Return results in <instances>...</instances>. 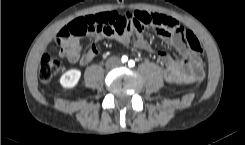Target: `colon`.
I'll list each match as a JSON object with an SVG mask.
<instances>
[{"label":"colon","instance_id":"1","mask_svg":"<svg viewBox=\"0 0 245 145\" xmlns=\"http://www.w3.org/2000/svg\"><path fill=\"white\" fill-rule=\"evenodd\" d=\"M166 27L172 33L181 36L187 42L189 47L198 51L201 48L198 39L186 29L177 20L162 16L158 13L140 15L139 20H135L126 14L121 15L115 21L107 22L102 16L88 17L86 22H82L79 18L73 19L64 25L58 32V36L52 42L50 49L42 56L39 77L43 81H49L54 78L61 70V62L55 56L56 52L60 54L64 52L63 43L69 38H78L86 35L89 30L96 28L99 31H105L108 28L113 29L117 33H125L131 31H140L144 27Z\"/></svg>","mask_w":245,"mask_h":145}]
</instances>
